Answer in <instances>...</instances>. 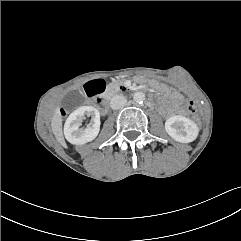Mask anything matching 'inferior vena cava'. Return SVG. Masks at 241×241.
Segmentation results:
<instances>
[{
    "mask_svg": "<svg viewBox=\"0 0 241 241\" xmlns=\"http://www.w3.org/2000/svg\"><path fill=\"white\" fill-rule=\"evenodd\" d=\"M127 99L123 95H115L111 101L110 106L114 110H118L126 106Z\"/></svg>",
    "mask_w": 241,
    "mask_h": 241,
    "instance_id": "inferior-vena-cava-1",
    "label": "inferior vena cava"
}]
</instances>
